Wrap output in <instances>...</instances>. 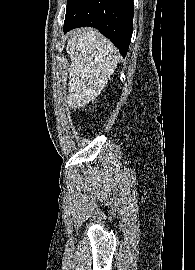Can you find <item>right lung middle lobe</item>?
Segmentation results:
<instances>
[{
  "label": "right lung middle lobe",
  "mask_w": 195,
  "mask_h": 270,
  "mask_svg": "<svg viewBox=\"0 0 195 270\" xmlns=\"http://www.w3.org/2000/svg\"><path fill=\"white\" fill-rule=\"evenodd\" d=\"M72 2L73 0H67V8L71 5Z\"/></svg>",
  "instance_id": "right-lung-middle-lobe-1"
}]
</instances>
